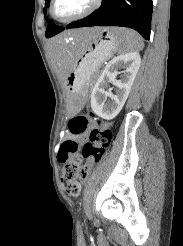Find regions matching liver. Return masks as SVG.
Segmentation results:
<instances>
[{"label": "liver", "mask_w": 183, "mask_h": 246, "mask_svg": "<svg viewBox=\"0 0 183 246\" xmlns=\"http://www.w3.org/2000/svg\"><path fill=\"white\" fill-rule=\"evenodd\" d=\"M99 28H84L69 31L53 39L49 44L50 55L55 64L59 79L64 81L72 70L74 56L64 46V39L73 36L81 40H91Z\"/></svg>", "instance_id": "6515ba94"}]
</instances>
